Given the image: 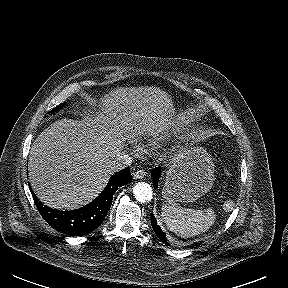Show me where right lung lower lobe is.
Instances as JSON below:
<instances>
[{
    "mask_svg": "<svg viewBox=\"0 0 288 288\" xmlns=\"http://www.w3.org/2000/svg\"><path fill=\"white\" fill-rule=\"evenodd\" d=\"M132 181L129 168H125L113 175L105 189L86 206L71 210L59 211L49 208L39 202L32 192L38 210L51 227L70 236H81L91 233L104 221L112 204L116 190Z\"/></svg>",
    "mask_w": 288,
    "mask_h": 288,
    "instance_id": "98d812e1",
    "label": "right lung lower lobe"
}]
</instances>
